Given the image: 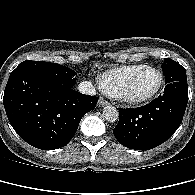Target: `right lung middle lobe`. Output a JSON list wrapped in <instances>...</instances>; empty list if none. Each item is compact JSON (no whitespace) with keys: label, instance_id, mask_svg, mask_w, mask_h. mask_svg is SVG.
<instances>
[{"label":"right lung middle lobe","instance_id":"right-lung-middle-lobe-1","mask_svg":"<svg viewBox=\"0 0 195 195\" xmlns=\"http://www.w3.org/2000/svg\"><path fill=\"white\" fill-rule=\"evenodd\" d=\"M16 69H32L44 72L57 82L59 89L72 88L76 82V72L60 64L25 60Z\"/></svg>","mask_w":195,"mask_h":195}]
</instances>
